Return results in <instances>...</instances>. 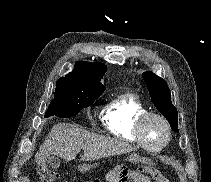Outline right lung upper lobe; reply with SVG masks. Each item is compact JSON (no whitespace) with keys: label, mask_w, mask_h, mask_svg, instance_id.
Listing matches in <instances>:
<instances>
[{"label":"right lung upper lobe","mask_w":211,"mask_h":182,"mask_svg":"<svg viewBox=\"0 0 211 182\" xmlns=\"http://www.w3.org/2000/svg\"><path fill=\"white\" fill-rule=\"evenodd\" d=\"M106 71L107 66L102 63L78 61L75 63L72 72L61 78L73 81L77 84L91 86L100 91H105V86H103L100 81Z\"/></svg>","instance_id":"1"}]
</instances>
